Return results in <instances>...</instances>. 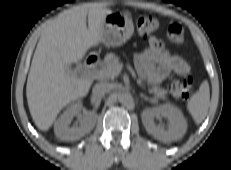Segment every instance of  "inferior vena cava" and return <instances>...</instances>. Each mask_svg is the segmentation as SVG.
Segmentation results:
<instances>
[{"label":"inferior vena cava","instance_id":"inferior-vena-cava-1","mask_svg":"<svg viewBox=\"0 0 231 170\" xmlns=\"http://www.w3.org/2000/svg\"><path fill=\"white\" fill-rule=\"evenodd\" d=\"M111 90V85L105 82L96 84L93 87V94L96 96H102Z\"/></svg>","mask_w":231,"mask_h":170}]
</instances>
